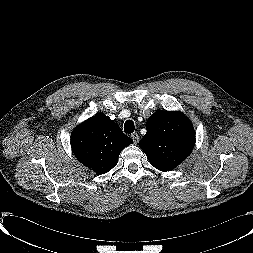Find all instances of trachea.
<instances>
[{"label":"trachea","mask_w":253,"mask_h":253,"mask_svg":"<svg viewBox=\"0 0 253 253\" xmlns=\"http://www.w3.org/2000/svg\"><path fill=\"white\" fill-rule=\"evenodd\" d=\"M135 130V125L132 120H127L124 124V132L127 134L133 133Z\"/></svg>","instance_id":"3493384b"}]
</instances>
